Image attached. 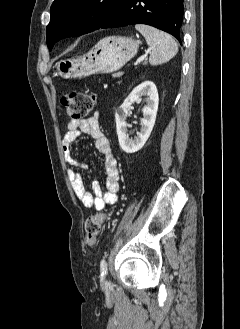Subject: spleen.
I'll return each mask as SVG.
<instances>
[{"mask_svg": "<svg viewBox=\"0 0 240 329\" xmlns=\"http://www.w3.org/2000/svg\"><path fill=\"white\" fill-rule=\"evenodd\" d=\"M135 28L144 36L147 44L152 48L149 57L151 65L164 63L177 54L178 45L168 33L144 24H137Z\"/></svg>", "mask_w": 240, "mask_h": 329, "instance_id": "3e777b00", "label": "spleen"}]
</instances>
